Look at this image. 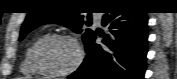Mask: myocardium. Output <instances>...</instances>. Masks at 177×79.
I'll return each mask as SVG.
<instances>
[{
  "instance_id": "myocardium-1",
  "label": "myocardium",
  "mask_w": 177,
  "mask_h": 79,
  "mask_svg": "<svg viewBox=\"0 0 177 79\" xmlns=\"http://www.w3.org/2000/svg\"><path fill=\"white\" fill-rule=\"evenodd\" d=\"M53 39H61V40L70 41L76 47L77 58H76L75 62L73 63V65L65 70L51 71V70L45 68L44 66H42L41 63L39 62L38 51H39L40 47L42 45H44L45 43H47L48 41L53 40ZM31 61H32V64L35 67V69L38 72H40L41 74L49 75V76H66V75H69V74L75 72L76 70H78L80 68V66L82 65V63L84 61V50L82 48V45L78 41V39L72 35L60 34V33L48 34V35L42 37L32 48Z\"/></svg>"
}]
</instances>
